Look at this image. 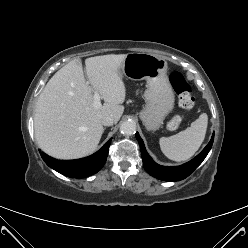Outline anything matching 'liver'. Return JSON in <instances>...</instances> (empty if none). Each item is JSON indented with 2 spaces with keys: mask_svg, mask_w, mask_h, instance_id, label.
<instances>
[{
  "mask_svg": "<svg viewBox=\"0 0 248 248\" xmlns=\"http://www.w3.org/2000/svg\"><path fill=\"white\" fill-rule=\"evenodd\" d=\"M126 54L76 58L57 71L39 95L34 115L35 138L39 147L58 159H76L91 154L104 128L101 120L112 116L118 122L126 88L119 67ZM104 100L94 104L93 91Z\"/></svg>",
  "mask_w": 248,
  "mask_h": 248,
  "instance_id": "liver-1",
  "label": "liver"
}]
</instances>
